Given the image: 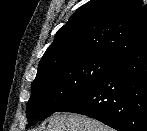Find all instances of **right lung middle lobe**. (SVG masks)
<instances>
[{
	"instance_id": "1",
	"label": "right lung middle lobe",
	"mask_w": 147,
	"mask_h": 131,
	"mask_svg": "<svg viewBox=\"0 0 147 131\" xmlns=\"http://www.w3.org/2000/svg\"><path fill=\"white\" fill-rule=\"evenodd\" d=\"M117 63L103 57H88L62 64L37 74L27 103V118L32 126L36 118L58 112L100 81Z\"/></svg>"
}]
</instances>
